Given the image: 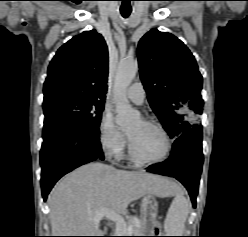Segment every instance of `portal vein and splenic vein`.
<instances>
[{"mask_svg":"<svg viewBox=\"0 0 248 237\" xmlns=\"http://www.w3.org/2000/svg\"><path fill=\"white\" fill-rule=\"evenodd\" d=\"M103 217L108 218L109 220L113 221L116 223L117 227L123 228L125 229L128 233H130L132 231V226H127L125 220L123 219V217L118 214L117 212L107 209V208H103L101 210H99L95 216L92 218V220L94 222H99Z\"/></svg>","mask_w":248,"mask_h":237,"instance_id":"1","label":"portal vein and splenic vein"}]
</instances>
